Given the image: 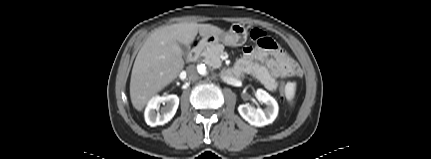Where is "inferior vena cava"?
<instances>
[{"label":"inferior vena cava","mask_w":431,"mask_h":159,"mask_svg":"<svg viewBox=\"0 0 431 159\" xmlns=\"http://www.w3.org/2000/svg\"><path fill=\"white\" fill-rule=\"evenodd\" d=\"M187 75L190 80H197L199 78L198 72L194 65H190L187 68Z\"/></svg>","instance_id":"obj_1"}]
</instances>
